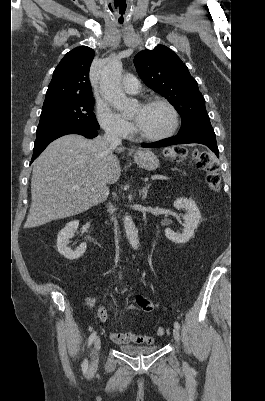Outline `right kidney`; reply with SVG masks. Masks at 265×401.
I'll list each match as a JSON object with an SVG mask.
<instances>
[{"label": "right kidney", "instance_id": "right-kidney-1", "mask_svg": "<svg viewBox=\"0 0 265 401\" xmlns=\"http://www.w3.org/2000/svg\"><path fill=\"white\" fill-rule=\"evenodd\" d=\"M78 227L79 221H70V223H67L64 229H61L60 233H58L57 249L60 255H64V257H66V259H70V261L82 257L83 253H85L87 249L86 243H81V245L77 247L76 251H72V249L68 247L69 239L74 237V233H76Z\"/></svg>", "mask_w": 265, "mask_h": 401}]
</instances>
